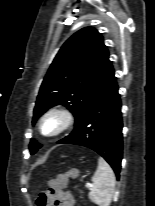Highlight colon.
Wrapping results in <instances>:
<instances>
[{"label":"colon","instance_id":"colon-1","mask_svg":"<svg viewBox=\"0 0 155 206\" xmlns=\"http://www.w3.org/2000/svg\"><path fill=\"white\" fill-rule=\"evenodd\" d=\"M67 176L65 174L59 175L57 178L48 181V185L52 189H60L63 188L67 181ZM46 201L45 194H41L38 198L39 206H42Z\"/></svg>","mask_w":155,"mask_h":206}]
</instances>
